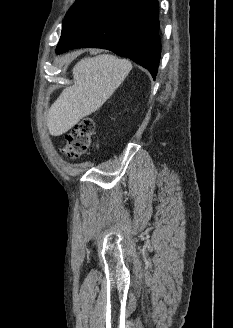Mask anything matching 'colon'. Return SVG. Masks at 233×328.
I'll list each match as a JSON object with an SVG mask.
<instances>
[{
  "label": "colon",
  "mask_w": 233,
  "mask_h": 328,
  "mask_svg": "<svg viewBox=\"0 0 233 328\" xmlns=\"http://www.w3.org/2000/svg\"><path fill=\"white\" fill-rule=\"evenodd\" d=\"M95 124L91 118L81 119L66 135L64 146L61 149L63 156L77 158L94 148Z\"/></svg>",
  "instance_id": "colon-1"
}]
</instances>
